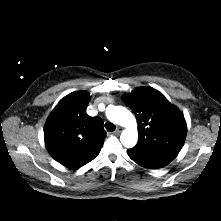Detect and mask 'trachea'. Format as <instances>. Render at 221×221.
I'll return each instance as SVG.
<instances>
[{
    "mask_svg": "<svg viewBox=\"0 0 221 221\" xmlns=\"http://www.w3.org/2000/svg\"><path fill=\"white\" fill-rule=\"evenodd\" d=\"M105 128H106L109 132H113V131L116 129L115 125H114L113 123H111V122H106V123H105Z\"/></svg>",
    "mask_w": 221,
    "mask_h": 221,
    "instance_id": "obj_1",
    "label": "trachea"
}]
</instances>
